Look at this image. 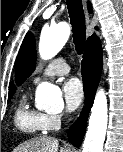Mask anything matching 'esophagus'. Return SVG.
Listing matches in <instances>:
<instances>
[{"mask_svg": "<svg viewBox=\"0 0 123 152\" xmlns=\"http://www.w3.org/2000/svg\"><path fill=\"white\" fill-rule=\"evenodd\" d=\"M85 1L86 0H83L84 5L86 4ZM85 10H86V8H85ZM89 19H90V17H89V14L87 13V10H86V20H87V23L89 22Z\"/></svg>", "mask_w": 123, "mask_h": 152, "instance_id": "obj_1", "label": "esophagus"}]
</instances>
